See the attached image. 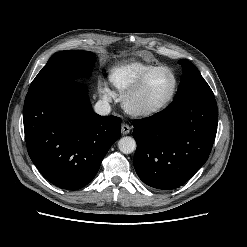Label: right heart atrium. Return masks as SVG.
I'll use <instances>...</instances> for the list:
<instances>
[{
  "mask_svg": "<svg viewBox=\"0 0 247 247\" xmlns=\"http://www.w3.org/2000/svg\"><path fill=\"white\" fill-rule=\"evenodd\" d=\"M101 93L105 99H111L113 97V92L106 85H102Z\"/></svg>",
  "mask_w": 247,
  "mask_h": 247,
  "instance_id": "1",
  "label": "right heart atrium"
}]
</instances>
